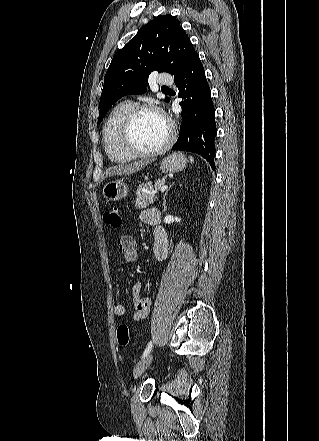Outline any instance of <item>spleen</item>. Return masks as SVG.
Masks as SVG:
<instances>
[{
  "instance_id": "obj_1",
  "label": "spleen",
  "mask_w": 319,
  "mask_h": 441,
  "mask_svg": "<svg viewBox=\"0 0 319 441\" xmlns=\"http://www.w3.org/2000/svg\"><path fill=\"white\" fill-rule=\"evenodd\" d=\"M190 161H191V163H193L194 162V160H193V158L190 156Z\"/></svg>"
}]
</instances>
